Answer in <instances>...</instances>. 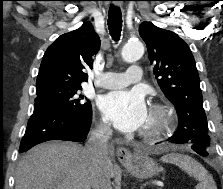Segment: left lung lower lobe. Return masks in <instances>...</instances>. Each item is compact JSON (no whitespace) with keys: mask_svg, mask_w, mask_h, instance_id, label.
Segmentation results:
<instances>
[{"mask_svg":"<svg viewBox=\"0 0 223 189\" xmlns=\"http://www.w3.org/2000/svg\"><path fill=\"white\" fill-rule=\"evenodd\" d=\"M169 141H171V140L169 139ZM171 142H173V141H171ZM173 143H176V142H173ZM191 147L195 152H197L201 156H207L208 155V150L207 149H204V148H201V147H198V146H194V145H192Z\"/></svg>","mask_w":223,"mask_h":189,"instance_id":"obj_1","label":"left lung lower lobe"}]
</instances>
